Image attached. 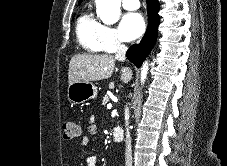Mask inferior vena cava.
<instances>
[{
  "label": "inferior vena cava",
  "mask_w": 227,
  "mask_h": 166,
  "mask_svg": "<svg viewBox=\"0 0 227 166\" xmlns=\"http://www.w3.org/2000/svg\"><path fill=\"white\" fill-rule=\"evenodd\" d=\"M126 51H127V46L122 44V43H118L115 58L120 60V61H125ZM130 77H131V72L128 71L127 72V78L130 79ZM127 110H128V108H127ZM125 166H132L131 136H130V131H129L128 119H126Z\"/></svg>",
  "instance_id": "obj_1"
}]
</instances>
